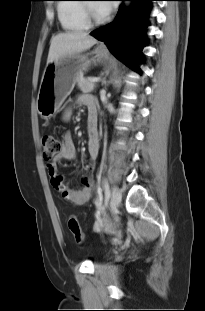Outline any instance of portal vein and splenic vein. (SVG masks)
Returning <instances> with one entry per match:
<instances>
[{
  "label": "portal vein and splenic vein",
  "instance_id": "18ae733b",
  "mask_svg": "<svg viewBox=\"0 0 205 311\" xmlns=\"http://www.w3.org/2000/svg\"><path fill=\"white\" fill-rule=\"evenodd\" d=\"M90 81H92V82H99L100 78L99 77H93V78H90Z\"/></svg>",
  "mask_w": 205,
  "mask_h": 311
}]
</instances>
